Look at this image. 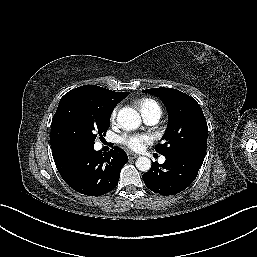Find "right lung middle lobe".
<instances>
[{
	"mask_svg": "<svg viewBox=\"0 0 257 257\" xmlns=\"http://www.w3.org/2000/svg\"><path fill=\"white\" fill-rule=\"evenodd\" d=\"M115 106L108 95L97 90L78 87L69 91L52 119L51 147L66 143L94 145L97 135L106 134Z\"/></svg>",
	"mask_w": 257,
	"mask_h": 257,
	"instance_id": "obj_1",
	"label": "right lung middle lobe"
}]
</instances>
